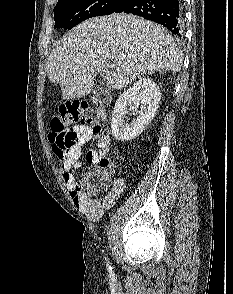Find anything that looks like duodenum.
Listing matches in <instances>:
<instances>
[{"instance_id":"obj_1","label":"duodenum","mask_w":233,"mask_h":294,"mask_svg":"<svg viewBox=\"0 0 233 294\" xmlns=\"http://www.w3.org/2000/svg\"><path fill=\"white\" fill-rule=\"evenodd\" d=\"M96 113H97V115H98L100 118H104V117H105V112H104V110L101 109V108H98V109L96 110Z\"/></svg>"}]
</instances>
